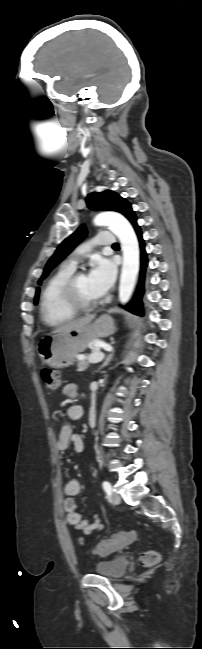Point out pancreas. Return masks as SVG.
<instances>
[{
  "label": "pancreas",
  "instance_id": "1",
  "mask_svg": "<svg viewBox=\"0 0 202 649\" xmlns=\"http://www.w3.org/2000/svg\"><path fill=\"white\" fill-rule=\"evenodd\" d=\"M95 352L98 354H103L102 352H100V350L93 348V353ZM89 364H90L89 357L86 360H81L77 363V368H78L77 370L84 371L89 367Z\"/></svg>",
  "mask_w": 202,
  "mask_h": 649
}]
</instances>
